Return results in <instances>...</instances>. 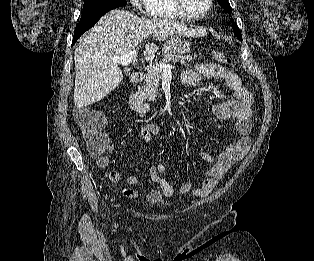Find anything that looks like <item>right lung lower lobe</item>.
I'll list each match as a JSON object with an SVG mask.
<instances>
[{"instance_id":"98d812e1","label":"right lung lower lobe","mask_w":314,"mask_h":261,"mask_svg":"<svg viewBox=\"0 0 314 261\" xmlns=\"http://www.w3.org/2000/svg\"><path fill=\"white\" fill-rule=\"evenodd\" d=\"M105 13L96 16L95 18L86 21V22H82L79 23L76 28H75V32H74V37H73V42L72 45L77 41V39L88 29H90L91 27H93L95 25V23L100 19L101 16H103Z\"/></svg>"}]
</instances>
